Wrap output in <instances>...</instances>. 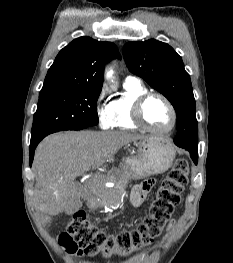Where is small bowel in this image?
Returning a JSON list of instances; mask_svg holds the SVG:
<instances>
[{
  "instance_id": "c3829d8e",
  "label": "small bowel",
  "mask_w": 233,
  "mask_h": 263,
  "mask_svg": "<svg viewBox=\"0 0 233 263\" xmlns=\"http://www.w3.org/2000/svg\"><path fill=\"white\" fill-rule=\"evenodd\" d=\"M153 186L152 180H147L133 188L132 194H131V202L135 206H139L142 204L144 199L146 198L148 192ZM175 224L174 220H171L169 222L168 227L171 228Z\"/></svg>"
}]
</instances>
